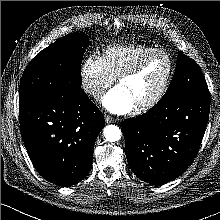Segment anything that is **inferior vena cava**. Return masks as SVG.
<instances>
[{"label":"inferior vena cava","mask_w":220,"mask_h":220,"mask_svg":"<svg viewBox=\"0 0 220 220\" xmlns=\"http://www.w3.org/2000/svg\"><path fill=\"white\" fill-rule=\"evenodd\" d=\"M92 94H93L94 97L99 98L103 95V91L100 90V89H94L92 91Z\"/></svg>","instance_id":"inferior-vena-cava-1"}]
</instances>
